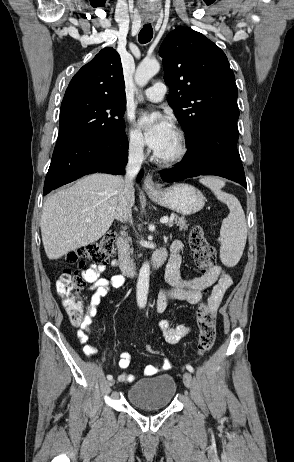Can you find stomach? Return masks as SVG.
Here are the masks:
<instances>
[{
  "label": "stomach",
  "mask_w": 294,
  "mask_h": 462,
  "mask_svg": "<svg viewBox=\"0 0 294 462\" xmlns=\"http://www.w3.org/2000/svg\"><path fill=\"white\" fill-rule=\"evenodd\" d=\"M148 196L157 204L182 215L194 214L205 204L204 195L188 184H175L158 192H148Z\"/></svg>",
  "instance_id": "1"
}]
</instances>
